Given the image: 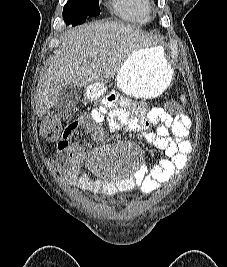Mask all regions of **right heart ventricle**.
Returning <instances> with one entry per match:
<instances>
[{
	"label": "right heart ventricle",
	"mask_w": 227,
	"mask_h": 267,
	"mask_svg": "<svg viewBox=\"0 0 227 267\" xmlns=\"http://www.w3.org/2000/svg\"><path fill=\"white\" fill-rule=\"evenodd\" d=\"M112 12L119 18L134 22H145L150 14L148 0H110Z\"/></svg>",
	"instance_id": "obj_1"
}]
</instances>
